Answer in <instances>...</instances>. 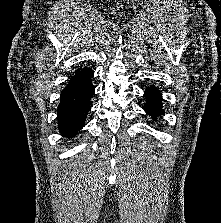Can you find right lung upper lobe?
Segmentation results:
<instances>
[{
	"label": "right lung upper lobe",
	"mask_w": 221,
	"mask_h": 223,
	"mask_svg": "<svg viewBox=\"0 0 221 223\" xmlns=\"http://www.w3.org/2000/svg\"><path fill=\"white\" fill-rule=\"evenodd\" d=\"M86 68V67H85ZM84 69V68H83ZM80 70H82V69H78L75 73H77V72H79Z\"/></svg>",
	"instance_id": "right-lung-upper-lobe-1"
}]
</instances>
